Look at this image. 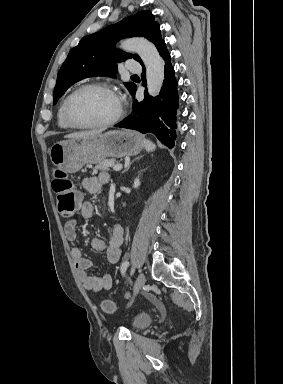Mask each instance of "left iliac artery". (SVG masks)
I'll use <instances>...</instances> for the list:
<instances>
[{
  "label": "left iliac artery",
  "instance_id": "1",
  "mask_svg": "<svg viewBox=\"0 0 283 384\" xmlns=\"http://www.w3.org/2000/svg\"><path fill=\"white\" fill-rule=\"evenodd\" d=\"M128 266H129V262H127V261H125V262H123L122 263V265H121V273H122V275H124L125 274V272H126V270H127V268H128Z\"/></svg>",
  "mask_w": 283,
  "mask_h": 384
}]
</instances>
